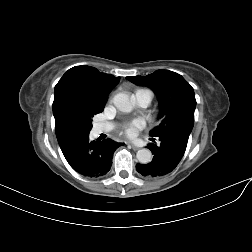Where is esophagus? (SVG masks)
Returning a JSON list of instances; mask_svg holds the SVG:
<instances>
[{"mask_svg": "<svg viewBox=\"0 0 252 252\" xmlns=\"http://www.w3.org/2000/svg\"><path fill=\"white\" fill-rule=\"evenodd\" d=\"M130 145H131V147H132V149H133L134 151H137V150L139 149L138 146H136V145H134V144H132V143H130Z\"/></svg>", "mask_w": 252, "mask_h": 252, "instance_id": "1", "label": "esophagus"}]
</instances>
